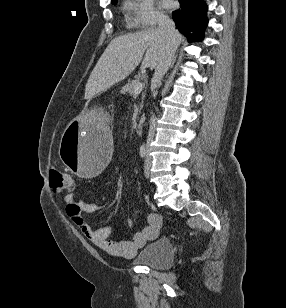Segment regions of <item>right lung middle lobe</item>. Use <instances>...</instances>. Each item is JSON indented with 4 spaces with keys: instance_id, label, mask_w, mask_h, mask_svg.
<instances>
[{
    "instance_id": "dd1d6c3e",
    "label": "right lung middle lobe",
    "mask_w": 286,
    "mask_h": 308,
    "mask_svg": "<svg viewBox=\"0 0 286 308\" xmlns=\"http://www.w3.org/2000/svg\"><path fill=\"white\" fill-rule=\"evenodd\" d=\"M116 3H117V0H113V1H112V4H116Z\"/></svg>"
}]
</instances>
